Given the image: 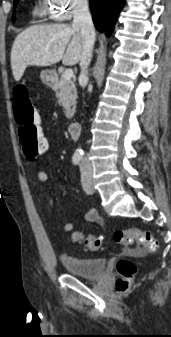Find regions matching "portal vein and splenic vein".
I'll return each mask as SVG.
<instances>
[{
	"label": "portal vein and splenic vein",
	"instance_id": "1",
	"mask_svg": "<svg viewBox=\"0 0 171 337\" xmlns=\"http://www.w3.org/2000/svg\"><path fill=\"white\" fill-rule=\"evenodd\" d=\"M63 77L66 80H70L73 77V70L71 68L66 69L63 73Z\"/></svg>",
	"mask_w": 171,
	"mask_h": 337
}]
</instances>
